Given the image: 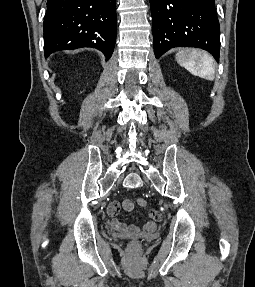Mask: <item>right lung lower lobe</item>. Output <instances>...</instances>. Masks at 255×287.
Wrapping results in <instances>:
<instances>
[{"label": "right lung lower lobe", "mask_w": 255, "mask_h": 287, "mask_svg": "<svg viewBox=\"0 0 255 287\" xmlns=\"http://www.w3.org/2000/svg\"><path fill=\"white\" fill-rule=\"evenodd\" d=\"M43 28L45 57L93 47L108 60L116 41V0H48Z\"/></svg>", "instance_id": "98d812e1"}]
</instances>
